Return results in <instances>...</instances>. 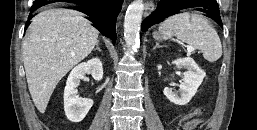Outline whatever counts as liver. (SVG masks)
<instances>
[{
	"instance_id": "1",
	"label": "liver",
	"mask_w": 257,
	"mask_h": 130,
	"mask_svg": "<svg viewBox=\"0 0 257 130\" xmlns=\"http://www.w3.org/2000/svg\"><path fill=\"white\" fill-rule=\"evenodd\" d=\"M98 35L74 10L49 9L32 19L22 51L29 92L40 113L58 82L91 53Z\"/></svg>"
}]
</instances>
